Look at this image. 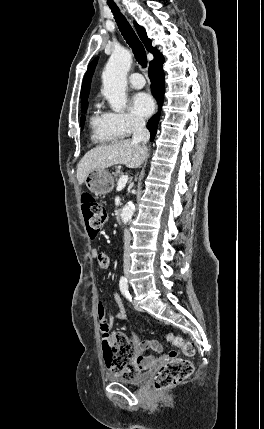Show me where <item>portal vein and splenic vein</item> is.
<instances>
[{"mask_svg": "<svg viewBox=\"0 0 264 429\" xmlns=\"http://www.w3.org/2000/svg\"><path fill=\"white\" fill-rule=\"evenodd\" d=\"M127 182H128V175H122L119 178L117 185H118L119 188H123V187H125V185L127 184Z\"/></svg>", "mask_w": 264, "mask_h": 429, "instance_id": "obj_1", "label": "portal vein and splenic vein"}]
</instances>
